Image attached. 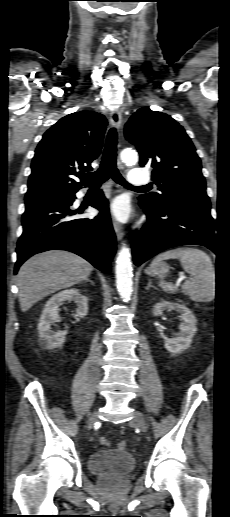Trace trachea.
<instances>
[{
  "label": "trachea",
  "mask_w": 230,
  "mask_h": 517,
  "mask_svg": "<svg viewBox=\"0 0 230 517\" xmlns=\"http://www.w3.org/2000/svg\"><path fill=\"white\" fill-rule=\"evenodd\" d=\"M117 158V132L111 128L108 132L105 149L99 169L92 173H87L92 186H100L109 178L126 188H149L150 186H132L121 176L116 165Z\"/></svg>",
  "instance_id": "1"
}]
</instances>
